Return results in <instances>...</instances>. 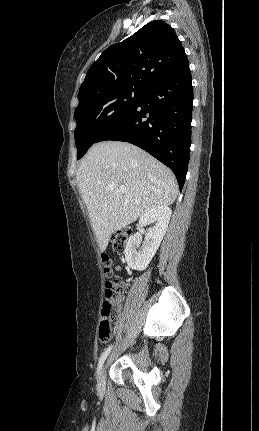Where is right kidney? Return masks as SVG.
Listing matches in <instances>:
<instances>
[{
	"label": "right kidney",
	"mask_w": 259,
	"mask_h": 431,
	"mask_svg": "<svg viewBox=\"0 0 259 431\" xmlns=\"http://www.w3.org/2000/svg\"><path fill=\"white\" fill-rule=\"evenodd\" d=\"M172 211L167 206H158L144 213L139 219V228L145 227L148 223H155L145 234L142 248L137 251L140 243L138 236H131L125 248V259L127 265L138 271L147 268L167 231Z\"/></svg>",
	"instance_id": "1"
}]
</instances>
